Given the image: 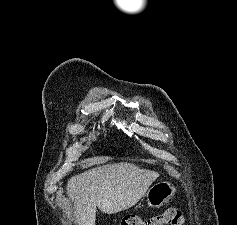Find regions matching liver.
<instances>
[{
	"label": "liver",
	"mask_w": 237,
	"mask_h": 225,
	"mask_svg": "<svg viewBox=\"0 0 237 225\" xmlns=\"http://www.w3.org/2000/svg\"><path fill=\"white\" fill-rule=\"evenodd\" d=\"M159 176L130 163L107 164L73 176L67 194L78 225H95L96 207L114 214L134 206Z\"/></svg>",
	"instance_id": "6515ba94"
}]
</instances>
